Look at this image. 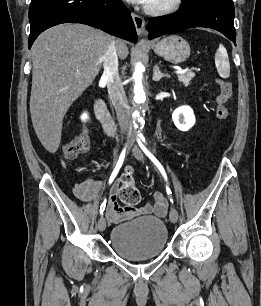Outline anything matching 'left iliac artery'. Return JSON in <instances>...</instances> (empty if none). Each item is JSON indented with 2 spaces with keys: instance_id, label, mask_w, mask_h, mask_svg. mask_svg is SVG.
Wrapping results in <instances>:
<instances>
[{
  "instance_id": "obj_1",
  "label": "left iliac artery",
  "mask_w": 261,
  "mask_h": 306,
  "mask_svg": "<svg viewBox=\"0 0 261 306\" xmlns=\"http://www.w3.org/2000/svg\"><path fill=\"white\" fill-rule=\"evenodd\" d=\"M140 138L143 140V142H145V138L142 136V134L140 133ZM138 144L141 147V149L144 151V153L149 157V159L156 165V167L159 169V171L162 173V175L164 176V178L166 177V173L164 171V168L162 167V165L159 163V161L155 158V156L142 144V142L138 139ZM167 194L170 195L172 194L170 188L167 187Z\"/></svg>"
}]
</instances>
